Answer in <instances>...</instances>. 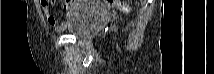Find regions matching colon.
<instances>
[{
  "instance_id": "1",
  "label": "colon",
  "mask_w": 214,
  "mask_h": 74,
  "mask_svg": "<svg viewBox=\"0 0 214 74\" xmlns=\"http://www.w3.org/2000/svg\"><path fill=\"white\" fill-rule=\"evenodd\" d=\"M116 6L124 11L128 10V7L121 2H116Z\"/></svg>"
}]
</instances>
